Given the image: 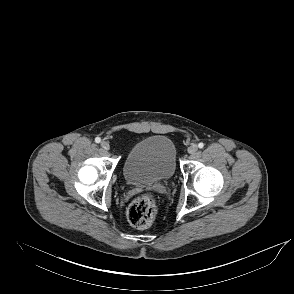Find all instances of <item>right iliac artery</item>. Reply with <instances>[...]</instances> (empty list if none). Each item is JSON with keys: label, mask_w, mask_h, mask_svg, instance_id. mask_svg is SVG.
<instances>
[{"label": "right iliac artery", "mask_w": 294, "mask_h": 294, "mask_svg": "<svg viewBox=\"0 0 294 294\" xmlns=\"http://www.w3.org/2000/svg\"><path fill=\"white\" fill-rule=\"evenodd\" d=\"M95 142H96V143H100V142H101V138H100V137H96V138H95Z\"/></svg>", "instance_id": "82829eb1"}]
</instances>
